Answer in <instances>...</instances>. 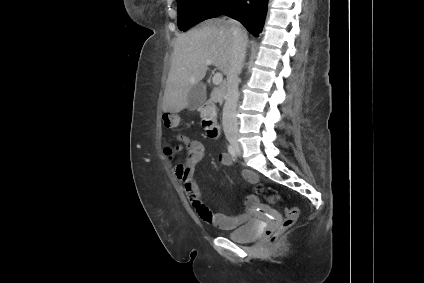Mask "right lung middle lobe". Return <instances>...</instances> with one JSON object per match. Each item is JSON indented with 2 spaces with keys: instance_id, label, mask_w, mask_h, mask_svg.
I'll return each instance as SVG.
<instances>
[{
  "instance_id": "obj_1",
  "label": "right lung middle lobe",
  "mask_w": 424,
  "mask_h": 283,
  "mask_svg": "<svg viewBox=\"0 0 424 283\" xmlns=\"http://www.w3.org/2000/svg\"><path fill=\"white\" fill-rule=\"evenodd\" d=\"M235 0H177L178 27L186 31L206 19L223 15Z\"/></svg>"
}]
</instances>
